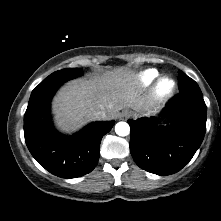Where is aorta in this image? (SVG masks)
Listing matches in <instances>:
<instances>
[{"label": "aorta", "mask_w": 221, "mask_h": 221, "mask_svg": "<svg viewBox=\"0 0 221 221\" xmlns=\"http://www.w3.org/2000/svg\"><path fill=\"white\" fill-rule=\"evenodd\" d=\"M115 132L119 136H127L130 133V126L126 122H118L115 125Z\"/></svg>", "instance_id": "1"}]
</instances>
